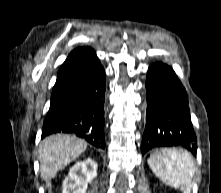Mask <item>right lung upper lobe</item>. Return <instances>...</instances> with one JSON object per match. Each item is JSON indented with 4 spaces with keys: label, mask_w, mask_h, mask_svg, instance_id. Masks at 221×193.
<instances>
[{
    "label": "right lung upper lobe",
    "mask_w": 221,
    "mask_h": 193,
    "mask_svg": "<svg viewBox=\"0 0 221 193\" xmlns=\"http://www.w3.org/2000/svg\"><path fill=\"white\" fill-rule=\"evenodd\" d=\"M98 60L90 47L74 49L60 67L51 100L62 94L85 70Z\"/></svg>",
    "instance_id": "obj_1"
}]
</instances>
